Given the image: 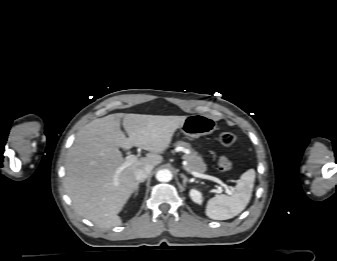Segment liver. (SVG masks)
<instances>
[{
    "instance_id": "1",
    "label": "liver",
    "mask_w": 337,
    "mask_h": 261,
    "mask_svg": "<svg viewBox=\"0 0 337 261\" xmlns=\"http://www.w3.org/2000/svg\"><path fill=\"white\" fill-rule=\"evenodd\" d=\"M186 117L115 113L83 126L65 161L64 188L75 211L100 228L121 225L118 214L134 193L135 170L163 161L161 154ZM133 146L151 153L117 174L124 163L119 148Z\"/></svg>"
}]
</instances>
